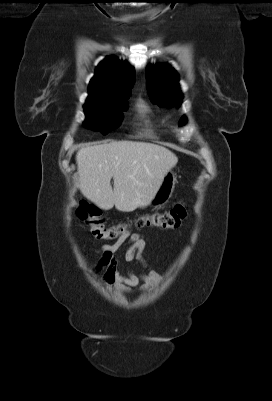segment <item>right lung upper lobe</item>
<instances>
[{
    "label": "right lung upper lobe",
    "instance_id": "obj_1",
    "mask_svg": "<svg viewBox=\"0 0 272 401\" xmlns=\"http://www.w3.org/2000/svg\"><path fill=\"white\" fill-rule=\"evenodd\" d=\"M134 82V69L128 63L107 57L97 66L90 81L88 99L130 93Z\"/></svg>",
    "mask_w": 272,
    "mask_h": 401
}]
</instances>
